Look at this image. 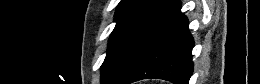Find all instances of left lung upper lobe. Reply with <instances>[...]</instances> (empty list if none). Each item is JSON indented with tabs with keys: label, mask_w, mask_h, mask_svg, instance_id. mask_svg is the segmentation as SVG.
Wrapping results in <instances>:
<instances>
[{
	"label": "left lung upper lobe",
	"mask_w": 260,
	"mask_h": 84,
	"mask_svg": "<svg viewBox=\"0 0 260 84\" xmlns=\"http://www.w3.org/2000/svg\"><path fill=\"white\" fill-rule=\"evenodd\" d=\"M160 1L121 0L115 13L117 24L110 36L107 56L101 66L102 83L108 77L124 46Z\"/></svg>",
	"instance_id": "1"
}]
</instances>
